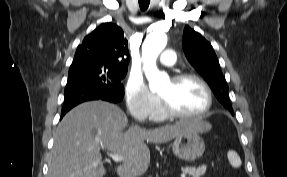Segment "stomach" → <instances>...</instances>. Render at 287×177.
<instances>
[{"label":"stomach","instance_id":"1","mask_svg":"<svg viewBox=\"0 0 287 177\" xmlns=\"http://www.w3.org/2000/svg\"><path fill=\"white\" fill-rule=\"evenodd\" d=\"M172 150L178 158L192 162L203 155L205 143L198 131H190L175 137Z\"/></svg>","mask_w":287,"mask_h":177}]
</instances>
